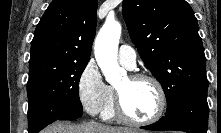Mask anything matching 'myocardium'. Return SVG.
Here are the masks:
<instances>
[{
	"instance_id": "f54148a6",
	"label": "myocardium",
	"mask_w": 221,
	"mask_h": 133,
	"mask_svg": "<svg viewBox=\"0 0 221 133\" xmlns=\"http://www.w3.org/2000/svg\"><path fill=\"white\" fill-rule=\"evenodd\" d=\"M128 78L131 81H139V80L150 81L157 90L158 99H159L158 108L156 112L154 113V115L148 119H144V120L135 119L131 117L130 115H128V113L126 112L124 108V104H123L122 95L120 91L116 88L115 89V110H116L117 117L120 120L124 121L125 123L134 125V126H147L160 120L167 107V97H166V93H165L162 83L155 76L151 74H147V73L130 74Z\"/></svg>"
}]
</instances>
